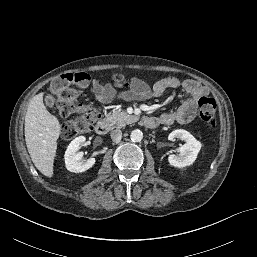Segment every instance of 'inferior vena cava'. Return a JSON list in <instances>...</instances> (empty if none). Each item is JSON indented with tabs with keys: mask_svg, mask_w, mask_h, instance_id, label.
<instances>
[{
	"mask_svg": "<svg viewBox=\"0 0 257 257\" xmlns=\"http://www.w3.org/2000/svg\"><path fill=\"white\" fill-rule=\"evenodd\" d=\"M111 139L113 141H119L122 138V131L119 129L110 132Z\"/></svg>",
	"mask_w": 257,
	"mask_h": 257,
	"instance_id": "obj_1",
	"label": "inferior vena cava"
}]
</instances>
